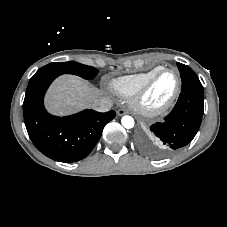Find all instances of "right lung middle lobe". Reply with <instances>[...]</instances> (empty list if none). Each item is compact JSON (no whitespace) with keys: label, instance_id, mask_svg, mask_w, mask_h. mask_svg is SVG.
<instances>
[{"label":"right lung middle lobe","instance_id":"right-lung-middle-lobe-1","mask_svg":"<svg viewBox=\"0 0 227 227\" xmlns=\"http://www.w3.org/2000/svg\"><path fill=\"white\" fill-rule=\"evenodd\" d=\"M98 70L91 66H86L77 62H54L40 68L32 78L46 74H74L84 79H93Z\"/></svg>","mask_w":227,"mask_h":227}]
</instances>
